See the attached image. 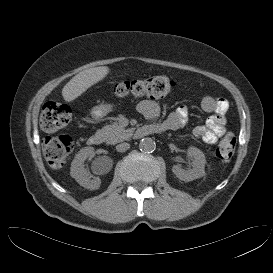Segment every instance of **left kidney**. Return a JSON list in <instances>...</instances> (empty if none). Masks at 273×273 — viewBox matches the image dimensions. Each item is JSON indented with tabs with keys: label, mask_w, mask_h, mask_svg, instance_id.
Listing matches in <instances>:
<instances>
[{
	"label": "left kidney",
	"mask_w": 273,
	"mask_h": 273,
	"mask_svg": "<svg viewBox=\"0 0 273 273\" xmlns=\"http://www.w3.org/2000/svg\"><path fill=\"white\" fill-rule=\"evenodd\" d=\"M187 153L194 158L192 168L184 170L180 166L174 165L172 171L180 180L189 182L204 176L206 159L204 153L193 146L188 148Z\"/></svg>",
	"instance_id": "left-kidney-1"
}]
</instances>
